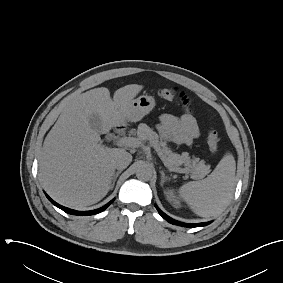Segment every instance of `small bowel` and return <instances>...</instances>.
I'll return each instance as SVG.
<instances>
[{
  "instance_id": "obj_1",
  "label": "small bowel",
  "mask_w": 283,
  "mask_h": 283,
  "mask_svg": "<svg viewBox=\"0 0 283 283\" xmlns=\"http://www.w3.org/2000/svg\"><path fill=\"white\" fill-rule=\"evenodd\" d=\"M185 105V112L177 117L172 114H162L158 123V130L168 141L176 145H191L200 135L196 117L188 108V99L181 93Z\"/></svg>"
}]
</instances>
